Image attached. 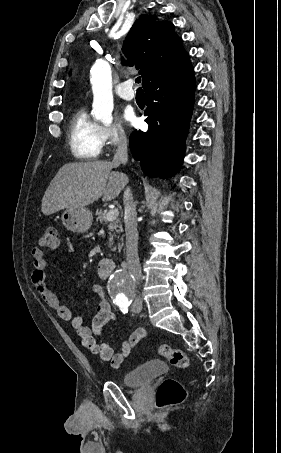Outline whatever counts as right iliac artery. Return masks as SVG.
<instances>
[{
	"instance_id": "right-iliac-artery-1",
	"label": "right iliac artery",
	"mask_w": 281,
	"mask_h": 453,
	"mask_svg": "<svg viewBox=\"0 0 281 453\" xmlns=\"http://www.w3.org/2000/svg\"><path fill=\"white\" fill-rule=\"evenodd\" d=\"M119 307H120V310L123 313H127L128 312V305H119Z\"/></svg>"
}]
</instances>
